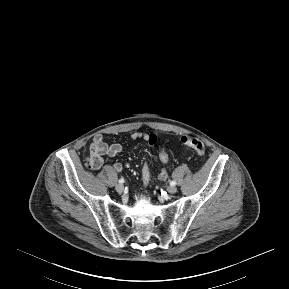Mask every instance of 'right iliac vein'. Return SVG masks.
<instances>
[{
  "label": "right iliac vein",
  "mask_w": 289,
  "mask_h": 289,
  "mask_svg": "<svg viewBox=\"0 0 289 289\" xmlns=\"http://www.w3.org/2000/svg\"><path fill=\"white\" fill-rule=\"evenodd\" d=\"M115 189L118 193H122L124 190V186L122 184H117Z\"/></svg>",
  "instance_id": "63e3f726"
}]
</instances>
